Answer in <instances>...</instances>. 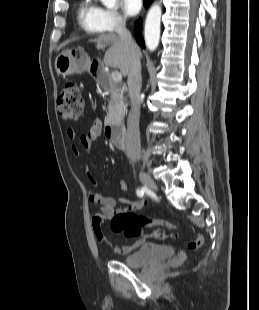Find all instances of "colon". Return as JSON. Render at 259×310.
Listing matches in <instances>:
<instances>
[{"mask_svg": "<svg viewBox=\"0 0 259 310\" xmlns=\"http://www.w3.org/2000/svg\"><path fill=\"white\" fill-rule=\"evenodd\" d=\"M84 110V103L79 86L74 82L64 85L57 101V111L66 120H77ZM147 225L157 228L150 233H145L143 227ZM111 230L115 234H121L126 238L155 237L160 240H167L176 237L175 233H168L166 230L174 231L177 225L163 219H153L138 215L133 211H122L116 213L111 219ZM202 244V238L197 236L187 244L188 249L195 250Z\"/></svg>", "mask_w": 259, "mask_h": 310, "instance_id": "colon-1", "label": "colon"}]
</instances>
